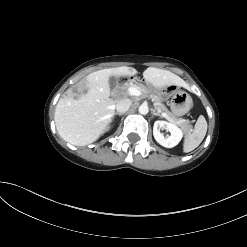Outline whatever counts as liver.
Here are the masks:
<instances>
[{
    "instance_id": "obj_1",
    "label": "liver",
    "mask_w": 247,
    "mask_h": 247,
    "mask_svg": "<svg viewBox=\"0 0 247 247\" xmlns=\"http://www.w3.org/2000/svg\"><path fill=\"white\" fill-rule=\"evenodd\" d=\"M137 70L132 67L102 69L90 73L80 82L87 92L78 99L72 89L67 90L55 108V125L58 134L75 146H85L95 142L112 121L115 103L109 98L111 91L109 77L133 76ZM144 80L154 88L168 86L187 88L188 84L170 71L149 67L143 72Z\"/></svg>"
}]
</instances>
